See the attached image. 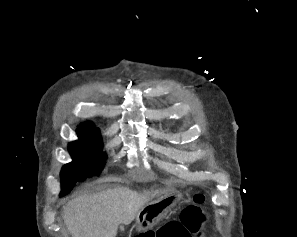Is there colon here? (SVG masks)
<instances>
[{"label":"colon","instance_id":"1","mask_svg":"<svg viewBox=\"0 0 297 237\" xmlns=\"http://www.w3.org/2000/svg\"><path fill=\"white\" fill-rule=\"evenodd\" d=\"M205 198L195 194L193 203L185 207L180 218L173 220L156 232H147L136 237H203L207 216L201 209Z\"/></svg>","mask_w":297,"mask_h":237}]
</instances>
